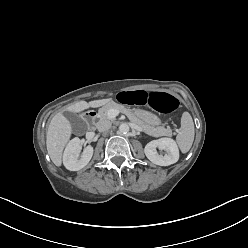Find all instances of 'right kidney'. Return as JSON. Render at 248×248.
<instances>
[{
    "mask_svg": "<svg viewBox=\"0 0 248 248\" xmlns=\"http://www.w3.org/2000/svg\"><path fill=\"white\" fill-rule=\"evenodd\" d=\"M79 149H80L79 138H74L67 144L63 154V164L66 167V169L70 171L81 170L91 160L94 152V149L91 145H88L84 149L81 158H78L77 155Z\"/></svg>",
    "mask_w": 248,
    "mask_h": 248,
    "instance_id": "ca27d5eb",
    "label": "right kidney"
}]
</instances>
